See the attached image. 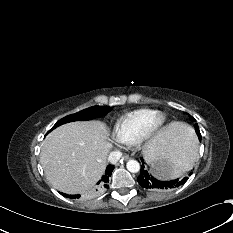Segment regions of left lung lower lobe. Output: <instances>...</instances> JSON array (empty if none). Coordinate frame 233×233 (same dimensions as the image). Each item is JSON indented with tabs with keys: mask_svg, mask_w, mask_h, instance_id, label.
I'll return each mask as SVG.
<instances>
[{
	"mask_svg": "<svg viewBox=\"0 0 233 233\" xmlns=\"http://www.w3.org/2000/svg\"><path fill=\"white\" fill-rule=\"evenodd\" d=\"M199 138V137H198ZM201 140V138H199ZM141 162L144 164V160L141 158ZM192 172L189 173V176ZM188 180V177L175 180H158L145 168L141 166L140 175L137 178L138 183L145 189L150 190H170L184 184Z\"/></svg>",
	"mask_w": 233,
	"mask_h": 233,
	"instance_id": "1",
	"label": "left lung lower lobe"
}]
</instances>
